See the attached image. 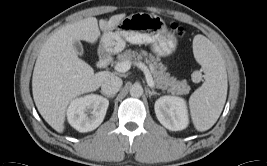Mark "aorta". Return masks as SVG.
<instances>
[{
    "mask_svg": "<svg viewBox=\"0 0 267 166\" xmlns=\"http://www.w3.org/2000/svg\"><path fill=\"white\" fill-rule=\"evenodd\" d=\"M142 94H143V88H142L141 85L134 84V85L131 86L130 95L132 97L138 98V97L142 96Z\"/></svg>",
    "mask_w": 267,
    "mask_h": 166,
    "instance_id": "1",
    "label": "aorta"
}]
</instances>
